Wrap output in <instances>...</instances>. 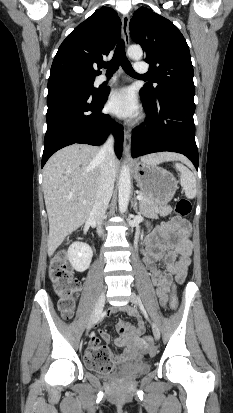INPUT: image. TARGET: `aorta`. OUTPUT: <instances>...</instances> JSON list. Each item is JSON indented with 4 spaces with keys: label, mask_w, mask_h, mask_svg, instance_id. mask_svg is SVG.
<instances>
[{
    "label": "aorta",
    "mask_w": 233,
    "mask_h": 413,
    "mask_svg": "<svg viewBox=\"0 0 233 413\" xmlns=\"http://www.w3.org/2000/svg\"><path fill=\"white\" fill-rule=\"evenodd\" d=\"M128 56L133 60H140L143 56L142 48L138 45H133L128 48ZM131 192V177L129 166L124 163L122 166L119 182H118V204L119 211L124 213L127 210L129 197Z\"/></svg>",
    "instance_id": "762f6f07"
}]
</instances>
